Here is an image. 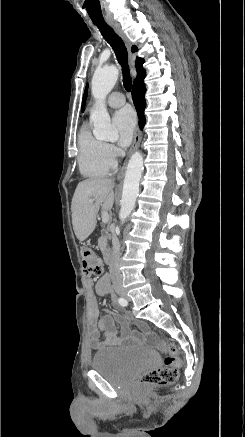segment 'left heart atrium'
I'll return each instance as SVG.
<instances>
[{
	"mask_svg": "<svg viewBox=\"0 0 245 437\" xmlns=\"http://www.w3.org/2000/svg\"><path fill=\"white\" fill-rule=\"evenodd\" d=\"M113 125L118 133V143L122 147L130 144L136 127V115L129 107L118 110L113 116Z\"/></svg>",
	"mask_w": 245,
	"mask_h": 437,
	"instance_id": "39dd6f15",
	"label": "left heart atrium"
}]
</instances>
